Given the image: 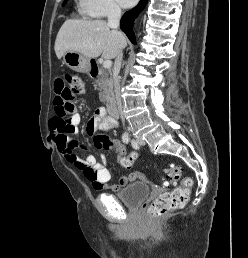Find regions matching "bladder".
I'll return each instance as SVG.
<instances>
[{
	"label": "bladder",
	"instance_id": "1",
	"mask_svg": "<svg viewBox=\"0 0 248 258\" xmlns=\"http://www.w3.org/2000/svg\"><path fill=\"white\" fill-rule=\"evenodd\" d=\"M149 187L142 182L127 185L121 191L114 194L126 207L138 208L142 201L149 195Z\"/></svg>",
	"mask_w": 248,
	"mask_h": 258
}]
</instances>
